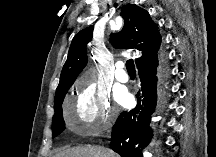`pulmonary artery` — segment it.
I'll use <instances>...</instances> for the list:
<instances>
[{
  "label": "pulmonary artery",
  "mask_w": 216,
  "mask_h": 157,
  "mask_svg": "<svg viewBox=\"0 0 216 157\" xmlns=\"http://www.w3.org/2000/svg\"><path fill=\"white\" fill-rule=\"evenodd\" d=\"M115 77L120 82H127L128 81V74L125 70L123 62H121V61H118L115 64Z\"/></svg>",
  "instance_id": "pulmonary-artery-1"
}]
</instances>
